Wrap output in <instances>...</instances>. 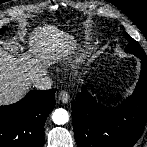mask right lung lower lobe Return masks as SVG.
Segmentation results:
<instances>
[{
  "label": "right lung lower lobe",
  "mask_w": 147,
  "mask_h": 147,
  "mask_svg": "<svg viewBox=\"0 0 147 147\" xmlns=\"http://www.w3.org/2000/svg\"><path fill=\"white\" fill-rule=\"evenodd\" d=\"M55 106V89L30 91L0 106V147H43L44 123Z\"/></svg>",
  "instance_id": "1"
}]
</instances>
